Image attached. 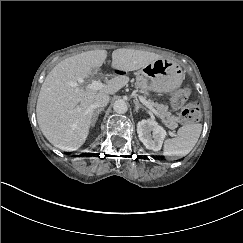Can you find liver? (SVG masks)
Wrapping results in <instances>:
<instances>
[{
    "instance_id": "obj_1",
    "label": "liver",
    "mask_w": 243,
    "mask_h": 243,
    "mask_svg": "<svg viewBox=\"0 0 243 243\" xmlns=\"http://www.w3.org/2000/svg\"><path fill=\"white\" fill-rule=\"evenodd\" d=\"M106 58V50L82 52L58 63L45 78L37 100V121L43 135L55 147L75 151L83 145L95 111L96 95H113L128 83L127 76L119 75L107 81L100 91L86 89L81 81L93 68L101 67ZM161 58L153 52L121 48L112 53V67L135 71Z\"/></svg>"
}]
</instances>
